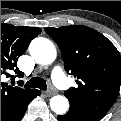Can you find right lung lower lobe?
Returning a JSON list of instances; mask_svg holds the SVG:
<instances>
[{"mask_svg": "<svg viewBox=\"0 0 121 121\" xmlns=\"http://www.w3.org/2000/svg\"><path fill=\"white\" fill-rule=\"evenodd\" d=\"M38 95H40V91L33 89L8 112L1 116V121H20L27 110L28 104Z\"/></svg>", "mask_w": 121, "mask_h": 121, "instance_id": "1", "label": "right lung lower lobe"}]
</instances>
